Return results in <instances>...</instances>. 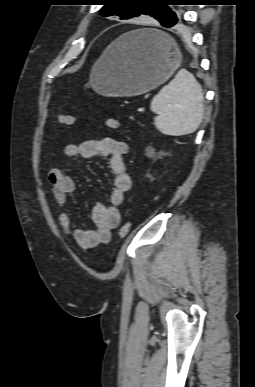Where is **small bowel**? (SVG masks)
I'll use <instances>...</instances> for the list:
<instances>
[{
	"label": "small bowel",
	"mask_w": 255,
	"mask_h": 387,
	"mask_svg": "<svg viewBox=\"0 0 255 387\" xmlns=\"http://www.w3.org/2000/svg\"><path fill=\"white\" fill-rule=\"evenodd\" d=\"M128 145L111 137L92 139L78 145L67 144L64 154L69 158H92L100 156L108 159L109 167L114 175L113 189L109 205H96L92 210V221L95 228L85 230L77 227L71 219L68 209V197L76 190V183L71 176L60 169H51L48 180L52 186V194L58 205V220L66 236L72 238L82 249H91L106 244L111 234L121 223L119 208L122 206L125 193L131 188V177L126 171L124 155Z\"/></svg>",
	"instance_id": "1"
}]
</instances>
